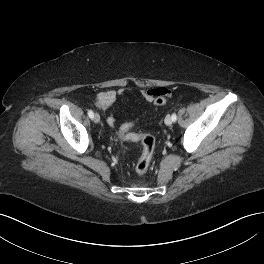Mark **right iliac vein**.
Masks as SVG:
<instances>
[{"label": "right iliac vein", "instance_id": "1", "mask_svg": "<svg viewBox=\"0 0 264 264\" xmlns=\"http://www.w3.org/2000/svg\"><path fill=\"white\" fill-rule=\"evenodd\" d=\"M93 120L95 123H99L100 122V115L98 113L94 114Z\"/></svg>", "mask_w": 264, "mask_h": 264}]
</instances>
